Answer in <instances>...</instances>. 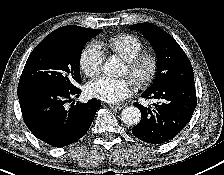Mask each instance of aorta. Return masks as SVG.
I'll return each instance as SVG.
<instances>
[{"instance_id": "762f6f07", "label": "aorta", "mask_w": 224, "mask_h": 175, "mask_svg": "<svg viewBox=\"0 0 224 175\" xmlns=\"http://www.w3.org/2000/svg\"><path fill=\"white\" fill-rule=\"evenodd\" d=\"M103 71L108 76H119L122 73V63L112 56L103 65ZM121 119L128 126L136 125L141 119L140 110L135 106L126 107L122 111Z\"/></svg>"}]
</instances>
